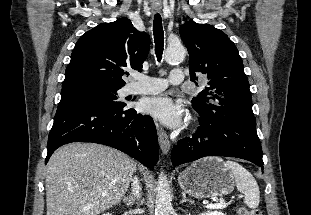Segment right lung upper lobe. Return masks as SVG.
<instances>
[{
  "mask_svg": "<svg viewBox=\"0 0 311 215\" xmlns=\"http://www.w3.org/2000/svg\"><path fill=\"white\" fill-rule=\"evenodd\" d=\"M150 38L126 17L102 23L84 33L71 54L62 86L94 83L121 88L126 68L142 71Z\"/></svg>",
  "mask_w": 311,
  "mask_h": 215,
  "instance_id": "obj_1",
  "label": "right lung upper lobe"
}]
</instances>
